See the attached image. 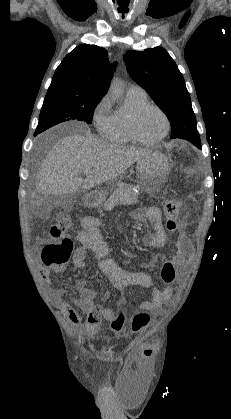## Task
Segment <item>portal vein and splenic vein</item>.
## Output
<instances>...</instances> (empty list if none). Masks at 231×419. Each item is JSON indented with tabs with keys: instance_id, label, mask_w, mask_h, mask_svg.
Wrapping results in <instances>:
<instances>
[{
	"instance_id": "obj_1",
	"label": "portal vein and splenic vein",
	"mask_w": 231,
	"mask_h": 419,
	"mask_svg": "<svg viewBox=\"0 0 231 419\" xmlns=\"http://www.w3.org/2000/svg\"><path fill=\"white\" fill-rule=\"evenodd\" d=\"M91 172H92L91 170H88V169H87V170H84V171H83V174H84V175H89Z\"/></svg>"
}]
</instances>
